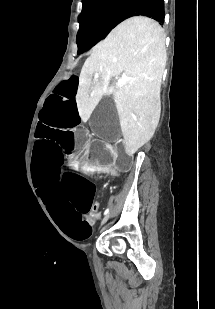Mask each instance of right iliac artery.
Here are the masks:
<instances>
[{
    "label": "right iliac artery",
    "mask_w": 215,
    "mask_h": 309,
    "mask_svg": "<svg viewBox=\"0 0 215 309\" xmlns=\"http://www.w3.org/2000/svg\"><path fill=\"white\" fill-rule=\"evenodd\" d=\"M109 213V209H106L104 212V215H107Z\"/></svg>",
    "instance_id": "82829eb1"
}]
</instances>
